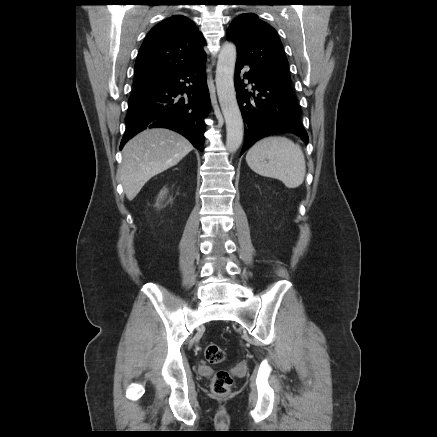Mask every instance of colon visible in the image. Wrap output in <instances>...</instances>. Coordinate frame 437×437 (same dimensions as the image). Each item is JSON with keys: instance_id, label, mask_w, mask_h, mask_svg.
<instances>
[{"instance_id": "colon-1", "label": "colon", "mask_w": 437, "mask_h": 437, "mask_svg": "<svg viewBox=\"0 0 437 437\" xmlns=\"http://www.w3.org/2000/svg\"><path fill=\"white\" fill-rule=\"evenodd\" d=\"M206 360L211 364H221L226 360V354L224 350L217 344L209 343L204 350ZM233 385V378L226 370H219L215 374L211 389L216 395H227Z\"/></svg>"}]
</instances>
